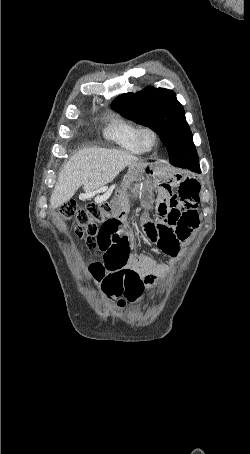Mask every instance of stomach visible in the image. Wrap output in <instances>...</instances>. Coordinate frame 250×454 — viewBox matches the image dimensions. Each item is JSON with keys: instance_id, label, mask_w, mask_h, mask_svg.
I'll return each mask as SVG.
<instances>
[{"instance_id": "stomach-1", "label": "stomach", "mask_w": 250, "mask_h": 454, "mask_svg": "<svg viewBox=\"0 0 250 454\" xmlns=\"http://www.w3.org/2000/svg\"><path fill=\"white\" fill-rule=\"evenodd\" d=\"M152 175H154V169L152 164H146L144 166L132 164L129 166L127 173V176H152Z\"/></svg>"}]
</instances>
